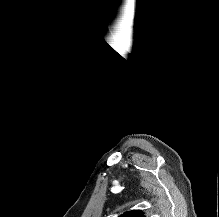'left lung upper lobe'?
<instances>
[{
	"label": "left lung upper lobe",
	"instance_id": "1",
	"mask_svg": "<svg viewBox=\"0 0 219 217\" xmlns=\"http://www.w3.org/2000/svg\"><path fill=\"white\" fill-rule=\"evenodd\" d=\"M120 217H144L142 211L139 210H133V211H128L121 215Z\"/></svg>",
	"mask_w": 219,
	"mask_h": 217
}]
</instances>
